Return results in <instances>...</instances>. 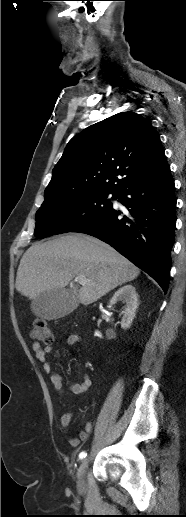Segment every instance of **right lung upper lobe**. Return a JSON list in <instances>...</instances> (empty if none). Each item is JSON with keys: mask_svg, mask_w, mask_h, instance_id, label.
<instances>
[{"mask_svg": "<svg viewBox=\"0 0 186 517\" xmlns=\"http://www.w3.org/2000/svg\"><path fill=\"white\" fill-rule=\"evenodd\" d=\"M167 166L159 134L151 122L134 112H121L87 127L69 141L53 169L44 202L86 191L119 194Z\"/></svg>", "mask_w": 186, "mask_h": 517, "instance_id": "1", "label": "right lung upper lobe"}]
</instances>
